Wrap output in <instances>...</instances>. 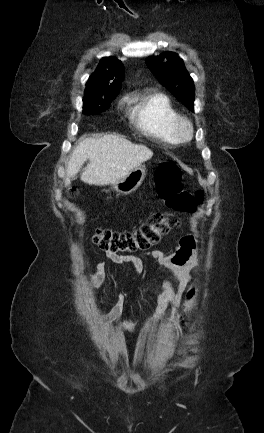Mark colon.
Segmentation results:
<instances>
[{
    "mask_svg": "<svg viewBox=\"0 0 264 433\" xmlns=\"http://www.w3.org/2000/svg\"><path fill=\"white\" fill-rule=\"evenodd\" d=\"M155 184L159 197L166 205L178 212L190 213L203 199V191L194 195L183 188V173L173 162L159 166L155 174ZM75 194V190L70 192ZM180 224V218L175 213H157L152 215L147 223L132 232H116L108 229L97 230L94 242L105 252L116 255L128 254L146 250L160 242L173 228ZM197 293L193 285L187 293L185 310L191 312Z\"/></svg>",
    "mask_w": 264,
    "mask_h": 433,
    "instance_id": "1",
    "label": "colon"
}]
</instances>
